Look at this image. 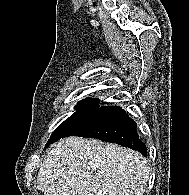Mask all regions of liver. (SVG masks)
I'll return each instance as SVG.
<instances>
[{"instance_id":"6515ba94","label":"liver","mask_w":189,"mask_h":195,"mask_svg":"<svg viewBox=\"0 0 189 195\" xmlns=\"http://www.w3.org/2000/svg\"><path fill=\"white\" fill-rule=\"evenodd\" d=\"M147 160L136 151L96 139L60 140L40 165L45 195H143Z\"/></svg>"}]
</instances>
